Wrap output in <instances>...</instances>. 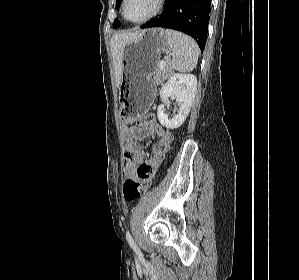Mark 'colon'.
I'll return each instance as SVG.
<instances>
[{
    "mask_svg": "<svg viewBox=\"0 0 299 280\" xmlns=\"http://www.w3.org/2000/svg\"><path fill=\"white\" fill-rule=\"evenodd\" d=\"M154 120L153 114H147L142 117L139 121V125H147ZM137 133H142V128L136 129ZM169 145L164 148L162 155L156 159L148 160L139 165L136 171V177L133 179L126 180L123 186V197L126 202H133L145 193L146 189L150 185L151 178L162 162L165 153L168 151ZM130 157V150L128 149L125 153V159Z\"/></svg>",
    "mask_w": 299,
    "mask_h": 280,
    "instance_id": "1",
    "label": "colon"
}]
</instances>
